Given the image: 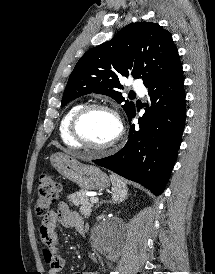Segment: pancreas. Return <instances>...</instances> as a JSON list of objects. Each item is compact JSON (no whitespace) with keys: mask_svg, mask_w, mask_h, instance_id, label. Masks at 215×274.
<instances>
[{"mask_svg":"<svg viewBox=\"0 0 215 274\" xmlns=\"http://www.w3.org/2000/svg\"><path fill=\"white\" fill-rule=\"evenodd\" d=\"M68 201L71 205L80 207V212L89 217L92 211L93 203L89 202V198L86 196V192L81 190L79 192L68 195Z\"/></svg>","mask_w":215,"mask_h":274,"instance_id":"1","label":"pancreas"}]
</instances>
